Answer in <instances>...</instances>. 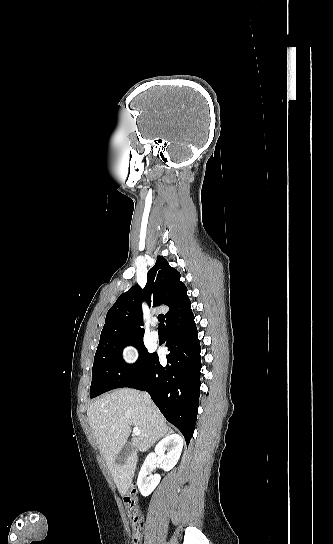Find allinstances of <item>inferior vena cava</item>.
Segmentation results:
<instances>
[{
    "mask_svg": "<svg viewBox=\"0 0 333 544\" xmlns=\"http://www.w3.org/2000/svg\"><path fill=\"white\" fill-rule=\"evenodd\" d=\"M145 398L147 400L149 410L151 411L150 396L148 394H145Z\"/></svg>",
    "mask_w": 333,
    "mask_h": 544,
    "instance_id": "602c4592",
    "label": "inferior vena cava"
}]
</instances>
